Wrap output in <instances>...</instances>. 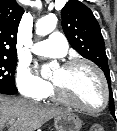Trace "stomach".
Here are the masks:
<instances>
[{"label":"stomach","instance_id":"stomach-1","mask_svg":"<svg viewBox=\"0 0 117 131\" xmlns=\"http://www.w3.org/2000/svg\"><path fill=\"white\" fill-rule=\"evenodd\" d=\"M56 131H80L82 121L71 112L60 114L54 118Z\"/></svg>","mask_w":117,"mask_h":131}]
</instances>
